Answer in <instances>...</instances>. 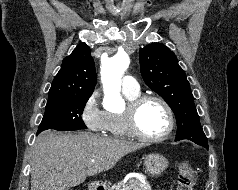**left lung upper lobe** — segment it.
I'll use <instances>...</instances> for the list:
<instances>
[{
  "instance_id": "1",
  "label": "left lung upper lobe",
  "mask_w": 238,
  "mask_h": 190,
  "mask_svg": "<svg viewBox=\"0 0 238 190\" xmlns=\"http://www.w3.org/2000/svg\"><path fill=\"white\" fill-rule=\"evenodd\" d=\"M139 57L144 81L167 102L175 114L178 126L175 141L188 139L208 147L190 84L175 54L165 45L153 43L141 49Z\"/></svg>"
}]
</instances>
